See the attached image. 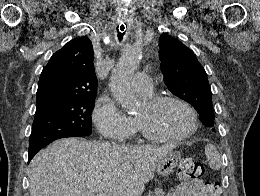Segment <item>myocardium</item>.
<instances>
[{"instance_id": "f54148a6", "label": "myocardium", "mask_w": 260, "mask_h": 196, "mask_svg": "<svg viewBox=\"0 0 260 196\" xmlns=\"http://www.w3.org/2000/svg\"><path fill=\"white\" fill-rule=\"evenodd\" d=\"M170 102H176L188 109V111L191 113L192 116V124L190 128L183 134L178 136H169L164 135L159 132L151 131L148 127L143 125L139 119L135 117L136 124L141 131V133L150 138L151 140L158 141V142H171V143H182L185 141H188L191 136L198 130L199 128V116L196 109L187 101L182 99L179 96L175 95H162V96H156L153 98L148 99L145 103L148 109L155 110L159 107L163 106L164 104L170 103Z\"/></svg>"}]
</instances>
